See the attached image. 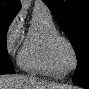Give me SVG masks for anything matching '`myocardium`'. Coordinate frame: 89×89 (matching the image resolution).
I'll return each mask as SVG.
<instances>
[{
	"mask_svg": "<svg viewBox=\"0 0 89 89\" xmlns=\"http://www.w3.org/2000/svg\"><path fill=\"white\" fill-rule=\"evenodd\" d=\"M50 44H51V51H52L53 57L61 70L67 73L77 68L78 66L77 51L74 45L72 44V42L66 36L58 32L56 35L52 37ZM63 45L66 46L73 55V65L71 67L65 66V64L62 61L61 54H60V47Z\"/></svg>",
	"mask_w": 89,
	"mask_h": 89,
	"instance_id": "obj_1",
	"label": "myocardium"
}]
</instances>
